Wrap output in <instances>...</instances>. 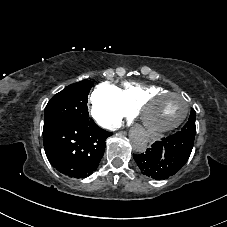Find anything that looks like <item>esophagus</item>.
Instances as JSON below:
<instances>
[{
    "label": "esophagus",
    "mask_w": 227,
    "mask_h": 227,
    "mask_svg": "<svg viewBox=\"0 0 227 227\" xmlns=\"http://www.w3.org/2000/svg\"><path fill=\"white\" fill-rule=\"evenodd\" d=\"M155 141H156L155 136L150 135V136H148V138H147V140H146V145H147V146H152L153 143H155Z\"/></svg>",
    "instance_id": "obj_1"
}]
</instances>
